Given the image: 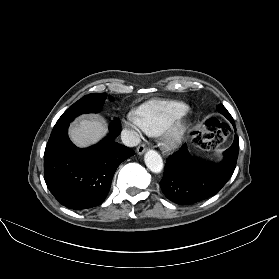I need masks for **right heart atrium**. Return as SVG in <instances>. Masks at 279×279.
<instances>
[{
	"label": "right heart atrium",
	"mask_w": 279,
	"mask_h": 279,
	"mask_svg": "<svg viewBox=\"0 0 279 279\" xmlns=\"http://www.w3.org/2000/svg\"><path fill=\"white\" fill-rule=\"evenodd\" d=\"M126 124L133 127L136 130H142L140 119L137 113H129L126 117Z\"/></svg>",
	"instance_id": "d8ad5b80"
}]
</instances>
